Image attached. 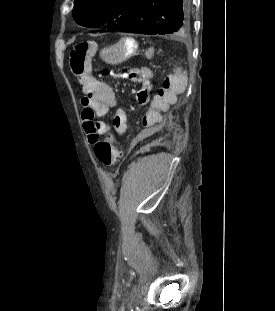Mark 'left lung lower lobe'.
I'll use <instances>...</instances> for the list:
<instances>
[{
	"label": "left lung lower lobe",
	"instance_id": "0a47b994",
	"mask_svg": "<svg viewBox=\"0 0 275 311\" xmlns=\"http://www.w3.org/2000/svg\"><path fill=\"white\" fill-rule=\"evenodd\" d=\"M190 0H142L134 14L114 31L182 34L190 29Z\"/></svg>",
	"mask_w": 275,
	"mask_h": 311
}]
</instances>
